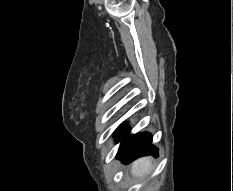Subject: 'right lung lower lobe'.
<instances>
[{
	"label": "right lung lower lobe",
	"instance_id": "right-lung-lower-lobe-1",
	"mask_svg": "<svg viewBox=\"0 0 233 191\" xmlns=\"http://www.w3.org/2000/svg\"><path fill=\"white\" fill-rule=\"evenodd\" d=\"M129 129L126 124H121L115 132L117 141H121L117 157L124 164H129L138 157L151 154L158 156V149L151 145L152 137L150 133H140L129 135Z\"/></svg>",
	"mask_w": 233,
	"mask_h": 191
}]
</instances>
